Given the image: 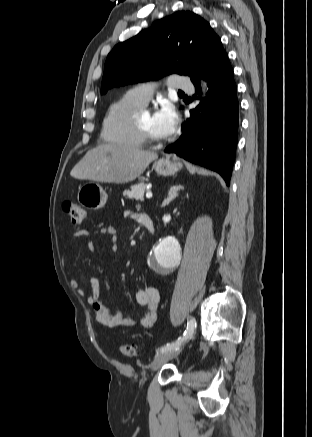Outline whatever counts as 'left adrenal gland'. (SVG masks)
Wrapping results in <instances>:
<instances>
[{"label": "left adrenal gland", "instance_id": "obj_1", "mask_svg": "<svg viewBox=\"0 0 312 437\" xmlns=\"http://www.w3.org/2000/svg\"><path fill=\"white\" fill-rule=\"evenodd\" d=\"M181 189H183V187L180 185L171 186L168 192V197L162 203V207L169 205L170 202L178 196V191Z\"/></svg>", "mask_w": 312, "mask_h": 437}]
</instances>
